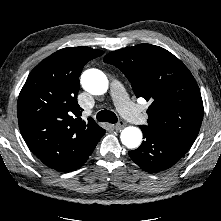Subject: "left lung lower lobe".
<instances>
[{"label":"left lung lower lobe","mask_w":221,"mask_h":221,"mask_svg":"<svg viewBox=\"0 0 221 221\" xmlns=\"http://www.w3.org/2000/svg\"><path fill=\"white\" fill-rule=\"evenodd\" d=\"M144 141L139 148L129 151L131 159L144 171L157 173L176 164L188 151L189 145L152 132L141 126Z\"/></svg>","instance_id":"0a47b994"}]
</instances>
